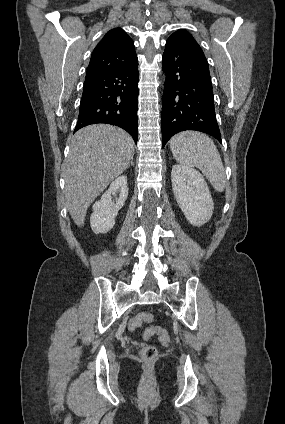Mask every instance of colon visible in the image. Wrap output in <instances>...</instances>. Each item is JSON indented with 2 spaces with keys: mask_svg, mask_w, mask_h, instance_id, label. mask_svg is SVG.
Here are the masks:
<instances>
[{
  "mask_svg": "<svg viewBox=\"0 0 285 424\" xmlns=\"http://www.w3.org/2000/svg\"><path fill=\"white\" fill-rule=\"evenodd\" d=\"M152 314L149 312H140L135 315L129 323V330L134 331L141 327L144 323L152 320ZM159 334L160 341L168 343L170 341V335L165 330H160L156 327H150L144 331L143 337L148 339L155 334ZM157 356V350L152 345H144L141 349V357L146 361L154 360Z\"/></svg>",
  "mask_w": 285,
  "mask_h": 424,
  "instance_id": "colon-1",
  "label": "colon"
}]
</instances>
